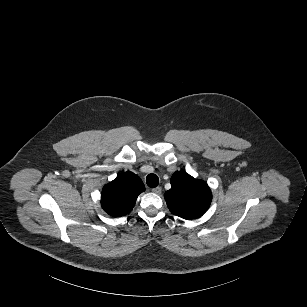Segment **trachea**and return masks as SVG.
<instances>
[{
    "label": "trachea",
    "instance_id": "trachea-1",
    "mask_svg": "<svg viewBox=\"0 0 307 307\" xmlns=\"http://www.w3.org/2000/svg\"><path fill=\"white\" fill-rule=\"evenodd\" d=\"M146 183L149 187L155 188L159 184V178L155 174H149L146 177Z\"/></svg>",
    "mask_w": 307,
    "mask_h": 307
}]
</instances>
